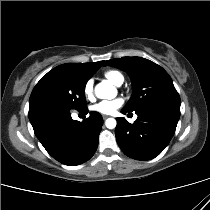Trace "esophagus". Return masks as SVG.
Listing matches in <instances>:
<instances>
[{"mask_svg": "<svg viewBox=\"0 0 210 210\" xmlns=\"http://www.w3.org/2000/svg\"><path fill=\"white\" fill-rule=\"evenodd\" d=\"M109 116L108 115H103L102 118L105 120L107 119Z\"/></svg>", "mask_w": 210, "mask_h": 210, "instance_id": "1", "label": "esophagus"}]
</instances>
